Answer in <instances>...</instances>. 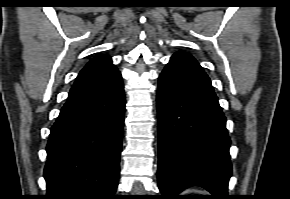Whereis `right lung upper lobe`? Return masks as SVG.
<instances>
[{"instance_id":"1","label":"right lung upper lobe","mask_w":290,"mask_h":199,"mask_svg":"<svg viewBox=\"0 0 290 199\" xmlns=\"http://www.w3.org/2000/svg\"><path fill=\"white\" fill-rule=\"evenodd\" d=\"M121 78L108 55H99L80 71L68 98H75L104 89Z\"/></svg>"}]
</instances>
